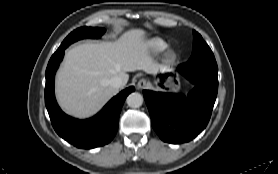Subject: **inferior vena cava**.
<instances>
[{
    "instance_id": "inferior-vena-cava-1",
    "label": "inferior vena cava",
    "mask_w": 278,
    "mask_h": 174,
    "mask_svg": "<svg viewBox=\"0 0 278 174\" xmlns=\"http://www.w3.org/2000/svg\"><path fill=\"white\" fill-rule=\"evenodd\" d=\"M109 85L113 88L119 89L123 86V81L120 77L115 76L109 80Z\"/></svg>"
}]
</instances>
